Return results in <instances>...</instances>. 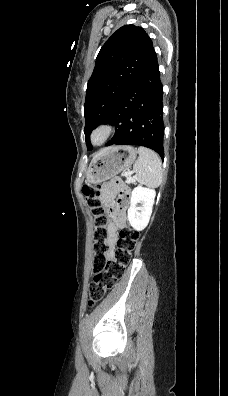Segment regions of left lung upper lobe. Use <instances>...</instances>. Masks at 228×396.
Returning <instances> with one entry per match:
<instances>
[{
  "label": "left lung upper lobe",
  "instance_id": "obj_1",
  "mask_svg": "<svg viewBox=\"0 0 228 396\" xmlns=\"http://www.w3.org/2000/svg\"><path fill=\"white\" fill-rule=\"evenodd\" d=\"M154 51L143 28H119L99 51L88 81L84 104L87 149L91 150V131L110 122L124 93L140 75Z\"/></svg>",
  "mask_w": 228,
  "mask_h": 396
}]
</instances>
